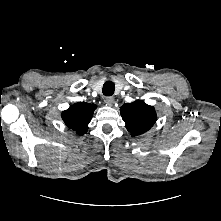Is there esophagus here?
I'll use <instances>...</instances> for the list:
<instances>
[{
    "label": "esophagus",
    "instance_id": "esophagus-1",
    "mask_svg": "<svg viewBox=\"0 0 221 221\" xmlns=\"http://www.w3.org/2000/svg\"><path fill=\"white\" fill-rule=\"evenodd\" d=\"M105 101L108 106H113L115 103V99L113 97H106Z\"/></svg>",
    "mask_w": 221,
    "mask_h": 221
}]
</instances>
